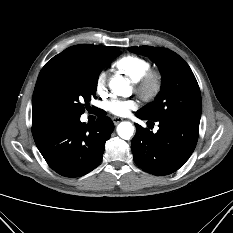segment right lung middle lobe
Returning a JSON list of instances; mask_svg holds the SVG:
<instances>
[{
	"mask_svg": "<svg viewBox=\"0 0 233 233\" xmlns=\"http://www.w3.org/2000/svg\"><path fill=\"white\" fill-rule=\"evenodd\" d=\"M121 52L117 47H107L92 57L65 60L46 76L42 90V104L52 118L81 116L85 105L95 96L99 74Z\"/></svg>",
	"mask_w": 233,
	"mask_h": 233,
	"instance_id": "dd1d6c3e",
	"label": "right lung middle lobe"
}]
</instances>
